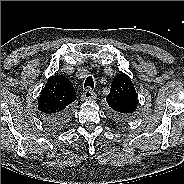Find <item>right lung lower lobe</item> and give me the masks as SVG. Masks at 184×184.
I'll use <instances>...</instances> for the list:
<instances>
[{"mask_svg": "<svg viewBox=\"0 0 184 184\" xmlns=\"http://www.w3.org/2000/svg\"><path fill=\"white\" fill-rule=\"evenodd\" d=\"M69 118V111L66 110L63 113L52 115V116H43V120L53 126H62Z\"/></svg>", "mask_w": 184, "mask_h": 184, "instance_id": "1", "label": "right lung lower lobe"}]
</instances>
